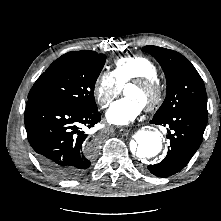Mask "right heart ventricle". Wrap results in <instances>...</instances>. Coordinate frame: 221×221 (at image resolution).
<instances>
[{
  "label": "right heart ventricle",
  "mask_w": 221,
  "mask_h": 221,
  "mask_svg": "<svg viewBox=\"0 0 221 221\" xmlns=\"http://www.w3.org/2000/svg\"><path fill=\"white\" fill-rule=\"evenodd\" d=\"M111 74L121 86L138 77L157 78L154 63L142 55H132L120 58L112 67Z\"/></svg>",
  "instance_id": "e07e8e85"
}]
</instances>
